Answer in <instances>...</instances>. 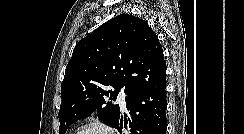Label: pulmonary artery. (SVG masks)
I'll return each instance as SVG.
<instances>
[{"label":"pulmonary artery","mask_w":244,"mask_h":134,"mask_svg":"<svg viewBox=\"0 0 244 134\" xmlns=\"http://www.w3.org/2000/svg\"><path fill=\"white\" fill-rule=\"evenodd\" d=\"M117 100H118V103L120 104L121 108L124 110L126 107V102H125V94L122 89L119 92Z\"/></svg>","instance_id":"obj_1"}]
</instances>
